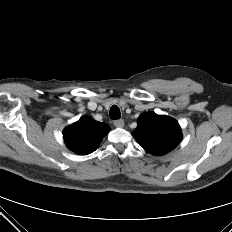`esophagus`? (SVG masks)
<instances>
[{"label": "esophagus", "instance_id": "obj_1", "mask_svg": "<svg viewBox=\"0 0 232 232\" xmlns=\"http://www.w3.org/2000/svg\"><path fill=\"white\" fill-rule=\"evenodd\" d=\"M114 125L118 128H122L124 126V120L119 119L114 121Z\"/></svg>", "mask_w": 232, "mask_h": 232}]
</instances>
